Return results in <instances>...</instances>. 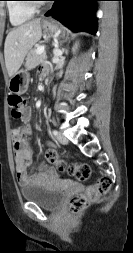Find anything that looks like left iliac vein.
<instances>
[{
  "mask_svg": "<svg viewBox=\"0 0 133 253\" xmlns=\"http://www.w3.org/2000/svg\"><path fill=\"white\" fill-rule=\"evenodd\" d=\"M57 140L61 143V144H68V139L66 138V136L59 132L58 135H57Z\"/></svg>",
  "mask_w": 133,
  "mask_h": 253,
  "instance_id": "obj_1",
  "label": "left iliac vein"
}]
</instances>
